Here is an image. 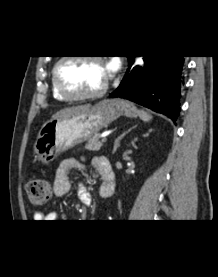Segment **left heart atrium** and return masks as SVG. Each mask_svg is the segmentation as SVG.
<instances>
[{
	"instance_id": "1",
	"label": "left heart atrium",
	"mask_w": 218,
	"mask_h": 277,
	"mask_svg": "<svg viewBox=\"0 0 218 277\" xmlns=\"http://www.w3.org/2000/svg\"><path fill=\"white\" fill-rule=\"evenodd\" d=\"M118 68V63L116 62H110L107 66L106 69L109 73H113L117 70Z\"/></svg>"
}]
</instances>
